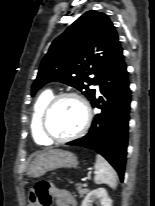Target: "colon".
<instances>
[{
    "label": "colon",
    "instance_id": "colon-1",
    "mask_svg": "<svg viewBox=\"0 0 155 206\" xmlns=\"http://www.w3.org/2000/svg\"><path fill=\"white\" fill-rule=\"evenodd\" d=\"M51 183L45 180L39 181L29 193L30 200L40 206H49L51 202Z\"/></svg>",
    "mask_w": 155,
    "mask_h": 206
}]
</instances>
